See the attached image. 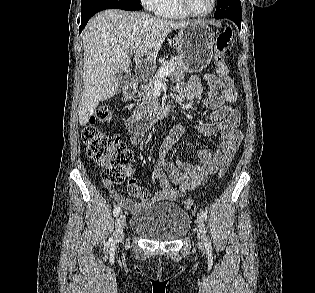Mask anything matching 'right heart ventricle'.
I'll return each mask as SVG.
<instances>
[{"label":"right heart ventricle","instance_id":"obj_1","mask_svg":"<svg viewBox=\"0 0 315 293\" xmlns=\"http://www.w3.org/2000/svg\"><path fill=\"white\" fill-rule=\"evenodd\" d=\"M156 13L169 19H186L189 17L182 9L179 0H160Z\"/></svg>","mask_w":315,"mask_h":293}]
</instances>
